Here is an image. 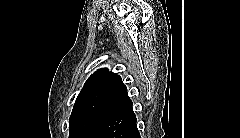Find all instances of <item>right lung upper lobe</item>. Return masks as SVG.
I'll list each match as a JSON object with an SVG mask.
<instances>
[{
	"label": "right lung upper lobe",
	"mask_w": 240,
	"mask_h": 138,
	"mask_svg": "<svg viewBox=\"0 0 240 138\" xmlns=\"http://www.w3.org/2000/svg\"><path fill=\"white\" fill-rule=\"evenodd\" d=\"M131 103L121 77L106 68L97 70L86 81L71 116L84 113L110 115Z\"/></svg>",
	"instance_id": "right-lung-upper-lobe-1"
}]
</instances>
